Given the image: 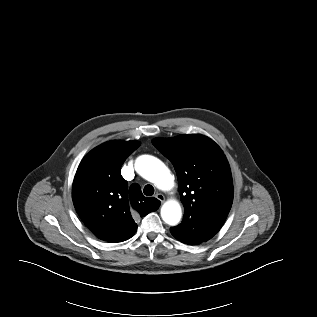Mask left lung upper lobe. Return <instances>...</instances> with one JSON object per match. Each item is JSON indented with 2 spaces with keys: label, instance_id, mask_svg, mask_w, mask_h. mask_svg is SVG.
Listing matches in <instances>:
<instances>
[{
  "label": "left lung upper lobe",
  "instance_id": "obj_1",
  "mask_svg": "<svg viewBox=\"0 0 317 317\" xmlns=\"http://www.w3.org/2000/svg\"><path fill=\"white\" fill-rule=\"evenodd\" d=\"M152 143L175 168L185 209L180 225L195 218L225 221L233 202V183L220 147L200 134L155 138Z\"/></svg>",
  "mask_w": 317,
  "mask_h": 317
}]
</instances>
